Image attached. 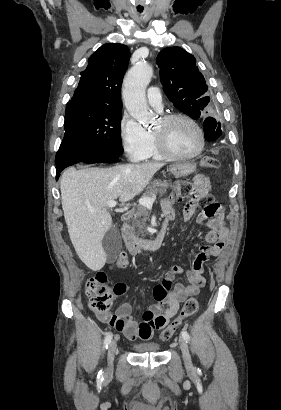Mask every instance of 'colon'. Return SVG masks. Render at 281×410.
I'll use <instances>...</instances> for the list:
<instances>
[{
	"instance_id": "5ec220e1",
	"label": "colon",
	"mask_w": 281,
	"mask_h": 410,
	"mask_svg": "<svg viewBox=\"0 0 281 410\" xmlns=\"http://www.w3.org/2000/svg\"><path fill=\"white\" fill-rule=\"evenodd\" d=\"M201 166L207 170H216L218 168V162L213 157H204L201 160ZM193 192V187L190 184H182L179 187L178 194L180 196L189 195ZM198 202L204 209V213L209 217L222 216V206L215 201L212 195L205 194L199 197ZM128 260L125 253H120L116 264L120 268L127 266ZM86 295L89 300L90 309L102 316L111 308L113 295L116 292V286L108 282L107 275L103 272H98L94 276L90 277L85 286ZM199 303L195 297L189 298L180 314L171 322V324L162 331L160 338L163 341L169 340L177 330L182 326L183 322L190 318L198 310ZM109 322L114 327L123 326L124 322L114 317L109 318Z\"/></svg>"
}]
</instances>
